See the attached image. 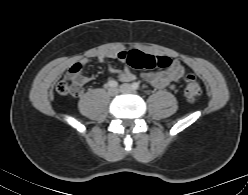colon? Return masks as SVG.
Segmentation results:
<instances>
[{
  "label": "colon",
  "instance_id": "1",
  "mask_svg": "<svg viewBox=\"0 0 248 195\" xmlns=\"http://www.w3.org/2000/svg\"><path fill=\"white\" fill-rule=\"evenodd\" d=\"M127 65L133 69L167 68L171 65V59L166 56H156L140 51H130L123 57ZM83 76L80 69L67 73L66 77L59 81L56 90L61 95H77L82 91ZM184 95L188 102L194 103L201 96V87L194 75H187L185 79Z\"/></svg>",
  "mask_w": 248,
  "mask_h": 195
}]
</instances>
